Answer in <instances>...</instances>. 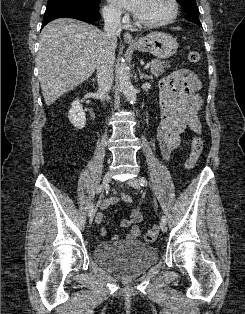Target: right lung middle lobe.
<instances>
[{
  "mask_svg": "<svg viewBox=\"0 0 245 314\" xmlns=\"http://www.w3.org/2000/svg\"><path fill=\"white\" fill-rule=\"evenodd\" d=\"M99 1L100 0H48L47 7L66 4L99 9Z\"/></svg>",
  "mask_w": 245,
  "mask_h": 314,
  "instance_id": "obj_1",
  "label": "right lung middle lobe"
}]
</instances>
